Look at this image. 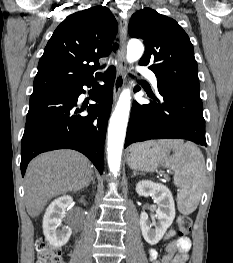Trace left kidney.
<instances>
[{
	"mask_svg": "<svg viewBox=\"0 0 233 263\" xmlns=\"http://www.w3.org/2000/svg\"><path fill=\"white\" fill-rule=\"evenodd\" d=\"M136 192L139 196L152 197L158 206L155 214L157 222H150L148 214L144 211L140 214L142 235L147 243L155 245L163 238L175 218L172 193L165 185L148 180L138 182Z\"/></svg>",
	"mask_w": 233,
	"mask_h": 263,
	"instance_id": "left-kidney-1",
	"label": "left kidney"
}]
</instances>
